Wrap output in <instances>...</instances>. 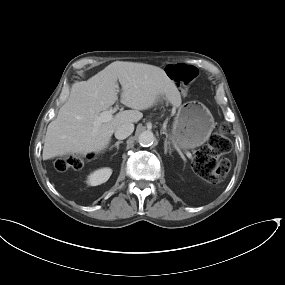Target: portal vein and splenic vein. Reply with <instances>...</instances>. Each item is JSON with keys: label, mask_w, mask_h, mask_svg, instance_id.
<instances>
[{"label": "portal vein and splenic vein", "mask_w": 285, "mask_h": 285, "mask_svg": "<svg viewBox=\"0 0 285 285\" xmlns=\"http://www.w3.org/2000/svg\"><path fill=\"white\" fill-rule=\"evenodd\" d=\"M117 109H118V106H116L113 109L102 112L99 116L96 117V121L101 122V123L111 121L113 118L112 114L115 113ZM186 155L188 158L192 159V154L190 152L187 151Z\"/></svg>", "instance_id": "portal-vein-and-splenic-vein-1"}]
</instances>
